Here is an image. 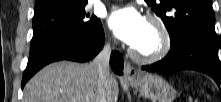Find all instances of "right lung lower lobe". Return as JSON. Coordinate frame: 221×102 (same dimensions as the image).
<instances>
[{
	"label": "right lung lower lobe",
	"mask_w": 221,
	"mask_h": 102,
	"mask_svg": "<svg viewBox=\"0 0 221 102\" xmlns=\"http://www.w3.org/2000/svg\"><path fill=\"white\" fill-rule=\"evenodd\" d=\"M104 42L105 36L101 23L86 33H63L45 41L30 51L22 78V89L26 82L45 65L59 60L89 61L103 48ZM110 65L115 73L122 74L123 58L119 52H112Z\"/></svg>",
	"instance_id": "right-lung-lower-lobe-1"
}]
</instances>
